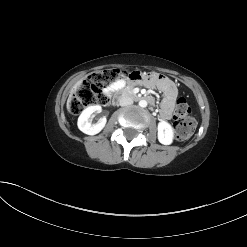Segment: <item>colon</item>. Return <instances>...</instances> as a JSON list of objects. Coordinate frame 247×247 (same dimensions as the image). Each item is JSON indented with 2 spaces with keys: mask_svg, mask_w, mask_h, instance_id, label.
Masks as SVG:
<instances>
[{
  "mask_svg": "<svg viewBox=\"0 0 247 247\" xmlns=\"http://www.w3.org/2000/svg\"><path fill=\"white\" fill-rule=\"evenodd\" d=\"M127 71L105 69L93 73L89 79L72 96L69 108L72 114L78 115L85 108L93 105H106L109 101L108 88L115 82L126 79ZM191 109L184 98L177 101L174 113L176 138L186 140L194 133L196 122L190 116Z\"/></svg>",
  "mask_w": 247,
  "mask_h": 247,
  "instance_id": "obj_1",
  "label": "colon"
}]
</instances>
